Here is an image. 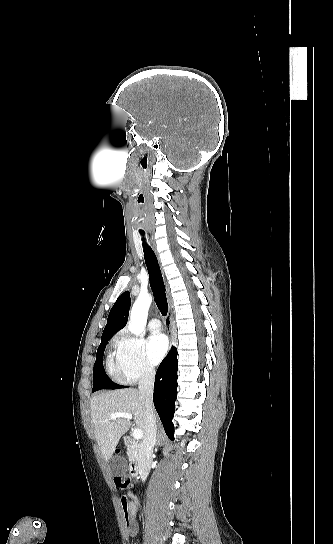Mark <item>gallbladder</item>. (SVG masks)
<instances>
[{
	"mask_svg": "<svg viewBox=\"0 0 333 544\" xmlns=\"http://www.w3.org/2000/svg\"><path fill=\"white\" fill-rule=\"evenodd\" d=\"M109 465L113 476L125 475L128 470L127 462L122 456H116L112 461H110Z\"/></svg>",
	"mask_w": 333,
	"mask_h": 544,
	"instance_id": "obj_1",
	"label": "gallbladder"
}]
</instances>
